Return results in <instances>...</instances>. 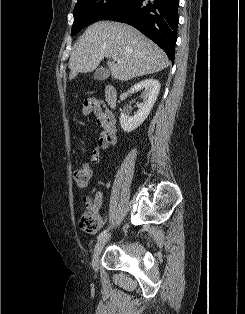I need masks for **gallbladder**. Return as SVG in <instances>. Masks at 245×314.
<instances>
[{
  "label": "gallbladder",
  "instance_id": "1",
  "mask_svg": "<svg viewBox=\"0 0 245 314\" xmlns=\"http://www.w3.org/2000/svg\"><path fill=\"white\" fill-rule=\"evenodd\" d=\"M110 75V71L105 67H99L95 70L93 78L98 81L106 80Z\"/></svg>",
  "mask_w": 245,
  "mask_h": 314
}]
</instances>
